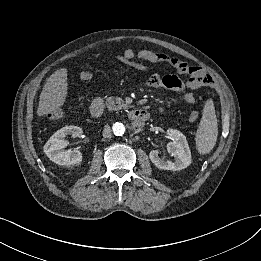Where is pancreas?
<instances>
[{"label": "pancreas", "mask_w": 261, "mask_h": 261, "mask_svg": "<svg viewBox=\"0 0 261 261\" xmlns=\"http://www.w3.org/2000/svg\"><path fill=\"white\" fill-rule=\"evenodd\" d=\"M107 108L109 110L116 111L127 108V105L123 103V100L119 97H108Z\"/></svg>", "instance_id": "pancreas-1"}]
</instances>
